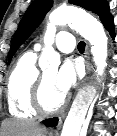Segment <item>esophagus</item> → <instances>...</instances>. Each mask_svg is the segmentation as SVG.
I'll return each instance as SVG.
<instances>
[{
  "label": "esophagus",
  "mask_w": 117,
  "mask_h": 136,
  "mask_svg": "<svg viewBox=\"0 0 117 136\" xmlns=\"http://www.w3.org/2000/svg\"><path fill=\"white\" fill-rule=\"evenodd\" d=\"M85 60H86V71H87V74H88L90 72V70H91L90 56H89V47H88V45L86 46ZM65 116H66V113H64V114H62L60 116L57 127L51 132L52 135H54V136L58 135L59 129H60V126H61V123H62V120L65 118Z\"/></svg>",
  "instance_id": "34e87169"
}]
</instances>
